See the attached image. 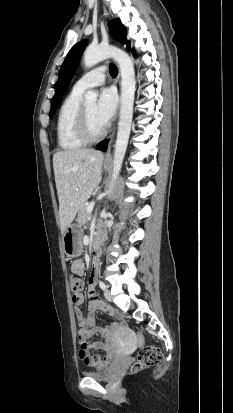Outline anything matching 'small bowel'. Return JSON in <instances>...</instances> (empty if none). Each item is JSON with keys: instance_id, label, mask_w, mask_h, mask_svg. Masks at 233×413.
Segmentation results:
<instances>
[{"instance_id": "1", "label": "small bowel", "mask_w": 233, "mask_h": 413, "mask_svg": "<svg viewBox=\"0 0 233 413\" xmlns=\"http://www.w3.org/2000/svg\"><path fill=\"white\" fill-rule=\"evenodd\" d=\"M73 264L70 270L74 276H83L85 274L84 257L82 255H75L73 257ZM88 313L87 316L83 314L79 306L84 302V295L79 292L73 294L72 300L75 307V315L78 324V340L80 344L79 358L90 367L101 369L106 367L113 358L120 352L121 343L119 342L118 333L122 327V315L113 307L101 300L95 289L94 278H91L88 288ZM101 311L111 317H114L117 321L105 326L95 328L96 313ZM95 334H98L105 338V341H97L92 344L88 343ZM90 349L102 350L105 352V356L92 355Z\"/></svg>"}]
</instances>
